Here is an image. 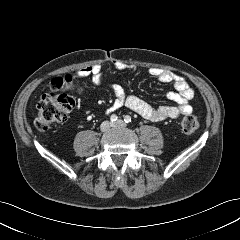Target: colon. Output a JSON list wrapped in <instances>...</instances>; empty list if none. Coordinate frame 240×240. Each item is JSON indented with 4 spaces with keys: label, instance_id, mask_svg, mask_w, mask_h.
I'll return each instance as SVG.
<instances>
[{
    "label": "colon",
    "instance_id": "1",
    "mask_svg": "<svg viewBox=\"0 0 240 240\" xmlns=\"http://www.w3.org/2000/svg\"><path fill=\"white\" fill-rule=\"evenodd\" d=\"M52 93L41 97L37 103L35 127L45 131L55 123L64 122L74 107L73 99L65 91H78L79 79L71 74L55 77L51 80ZM182 130L191 134L199 128V121L194 115H186L181 121Z\"/></svg>",
    "mask_w": 240,
    "mask_h": 240
}]
</instances>
